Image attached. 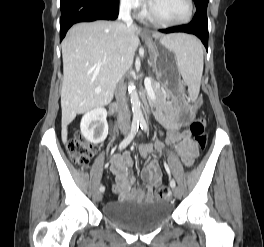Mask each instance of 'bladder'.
<instances>
[{
  "instance_id": "bladder-1",
  "label": "bladder",
  "mask_w": 264,
  "mask_h": 247,
  "mask_svg": "<svg viewBox=\"0 0 264 247\" xmlns=\"http://www.w3.org/2000/svg\"><path fill=\"white\" fill-rule=\"evenodd\" d=\"M171 212V204L163 199L121 200L110 202L103 208L104 218L132 232H144L159 227L170 218Z\"/></svg>"
}]
</instances>
